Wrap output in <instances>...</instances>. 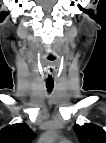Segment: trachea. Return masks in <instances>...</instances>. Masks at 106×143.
Instances as JSON below:
<instances>
[{
	"label": "trachea",
	"mask_w": 106,
	"mask_h": 143,
	"mask_svg": "<svg viewBox=\"0 0 106 143\" xmlns=\"http://www.w3.org/2000/svg\"><path fill=\"white\" fill-rule=\"evenodd\" d=\"M53 87H54V83L52 84L46 83V88L49 92L52 91Z\"/></svg>",
	"instance_id": "obj_1"
}]
</instances>
